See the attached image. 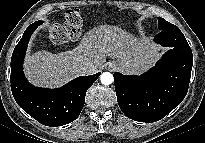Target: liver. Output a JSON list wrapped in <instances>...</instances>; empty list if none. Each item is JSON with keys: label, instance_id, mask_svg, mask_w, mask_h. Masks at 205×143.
Masks as SVG:
<instances>
[{"label": "liver", "instance_id": "6515ba94", "mask_svg": "<svg viewBox=\"0 0 205 143\" xmlns=\"http://www.w3.org/2000/svg\"><path fill=\"white\" fill-rule=\"evenodd\" d=\"M107 56L119 63L122 72L138 74L154 63L158 48L118 26L102 24L88 31L72 50L28 54L24 72L36 86L59 87L82 75L81 64L85 61L92 62L96 72L101 70Z\"/></svg>", "mask_w": 205, "mask_h": 143}]
</instances>
